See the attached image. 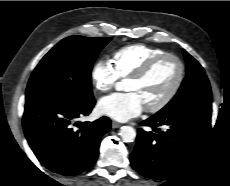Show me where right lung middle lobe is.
<instances>
[{
  "mask_svg": "<svg viewBox=\"0 0 230 186\" xmlns=\"http://www.w3.org/2000/svg\"><path fill=\"white\" fill-rule=\"evenodd\" d=\"M110 40L83 36L61 40L33 71L26 90V102L45 96L70 100L92 98V65Z\"/></svg>",
  "mask_w": 230,
  "mask_h": 186,
  "instance_id": "right-lung-middle-lobe-1",
  "label": "right lung middle lobe"
}]
</instances>
